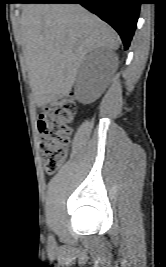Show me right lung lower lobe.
<instances>
[{
    "label": "right lung lower lobe",
    "instance_id": "right-lung-lower-lobe-1",
    "mask_svg": "<svg viewBox=\"0 0 166 267\" xmlns=\"http://www.w3.org/2000/svg\"><path fill=\"white\" fill-rule=\"evenodd\" d=\"M21 3H79L110 24L127 50L139 16L141 0H21Z\"/></svg>",
    "mask_w": 166,
    "mask_h": 267
}]
</instances>
